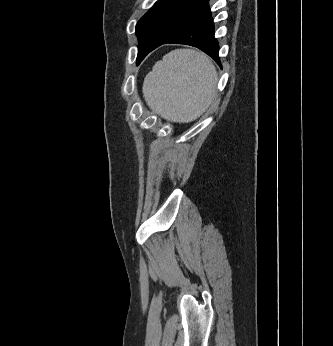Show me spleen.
<instances>
[{
    "label": "spleen",
    "mask_w": 333,
    "mask_h": 346,
    "mask_svg": "<svg viewBox=\"0 0 333 346\" xmlns=\"http://www.w3.org/2000/svg\"><path fill=\"white\" fill-rule=\"evenodd\" d=\"M217 71L209 57L177 49L155 63L143 83V96L164 119L188 123L199 118L216 96Z\"/></svg>",
    "instance_id": "1"
}]
</instances>
